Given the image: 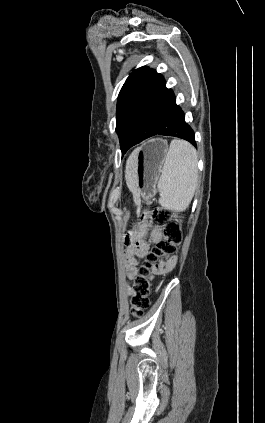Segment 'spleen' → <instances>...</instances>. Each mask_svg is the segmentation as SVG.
Returning <instances> with one entry per match:
<instances>
[{
  "label": "spleen",
  "instance_id": "1",
  "mask_svg": "<svg viewBox=\"0 0 265 423\" xmlns=\"http://www.w3.org/2000/svg\"><path fill=\"white\" fill-rule=\"evenodd\" d=\"M197 182L195 148L186 141L172 140L157 184L159 204L173 212L186 210L194 196Z\"/></svg>",
  "mask_w": 265,
  "mask_h": 423
}]
</instances>
